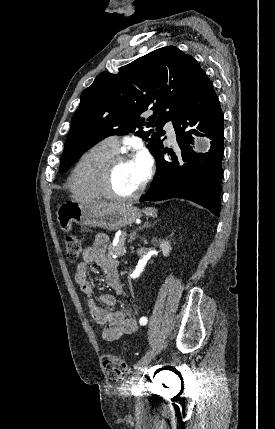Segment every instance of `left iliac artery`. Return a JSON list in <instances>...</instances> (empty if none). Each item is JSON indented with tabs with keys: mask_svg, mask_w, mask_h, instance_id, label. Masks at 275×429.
Masks as SVG:
<instances>
[{
	"mask_svg": "<svg viewBox=\"0 0 275 429\" xmlns=\"http://www.w3.org/2000/svg\"><path fill=\"white\" fill-rule=\"evenodd\" d=\"M139 322H140V325L144 326L147 324L148 319H147V317H141Z\"/></svg>",
	"mask_w": 275,
	"mask_h": 429,
	"instance_id": "1",
	"label": "left iliac artery"
}]
</instances>
